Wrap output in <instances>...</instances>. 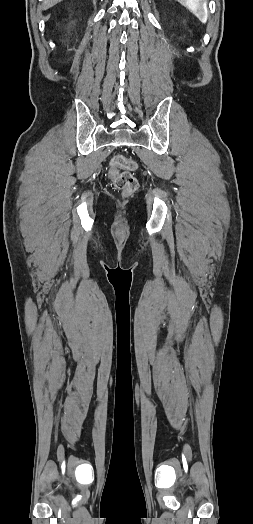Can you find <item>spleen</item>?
<instances>
[{
	"label": "spleen",
	"mask_w": 253,
	"mask_h": 524,
	"mask_svg": "<svg viewBox=\"0 0 253 524\" xmlns=\"http://www.w3.org/2000/svg\"><path fill=\"white\" fill-rule=\"evenodd\" d=\"M181 5L193 13L202 23L207 22L208 14L204 0H177Z\"/></svg>",
	"instance_id": "1"
}]
</instances>
